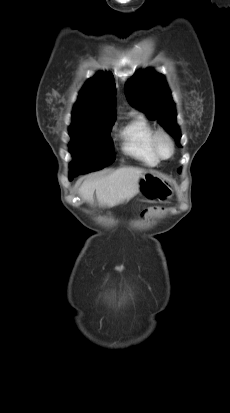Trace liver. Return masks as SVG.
<instances>
[{
    "instance_id": "6515ba94",
    "label": "liver",
    "mask_w": 230,
    "mask_h": 413,
    "mask_svg": "<svg viewBox=\"0 0 230 413\" xmlns=\"http://www.w3.org/2000/svg\"><path fill=\"white\" fill-rule=\"evenodd\" d=\"M143 173L140 168L122 167L107 176L85 181L78 194L92 203L95 192L100 206L113 207L129 201L138 193V181Z\"/></svg>"
}]
</instances>
